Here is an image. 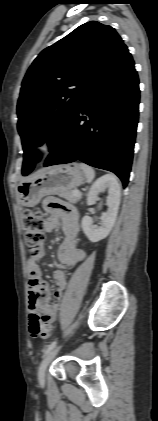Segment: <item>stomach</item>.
Returning <instances> with one entry per match:
<instances>
[{
    "label": "stomach",
    "instance_id": "stomach-1",
    "mask_svg": "<svg viewBox=\"0 0 158 421\" xmlns=\"http://www.w3.org/2000/svg\"><path fill=\"white\" fill-rule=\"evenodd\" d=\"M85 174L78 164L57 165L46 168L41 174L18 185L22 205L33 207L51 194H61L84 183Z\"/></svg>",
    "mask_w": 158,
    "mask_h": 421
}]
</instances>
